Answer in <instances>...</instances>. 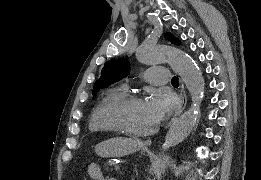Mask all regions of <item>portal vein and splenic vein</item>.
Returning a JSON list of instances; mask_svg holds the SVG:
<instances>
[{"mask_svg": "<svg viewBox=\"0 0 261 180\" xmlns=\"http://www.w3.org/2000/svg\"><path fill=\"white\" fill-rule=\"evenodd\" d=\"M121 169H122V166L118 165V163H115L114 170H121Z\"/></svg>", "mask_w": 261, "mask_h": 180, "instance_id": "18ae733b", "label": "portal vein and splenic vein"}]
</instances>
